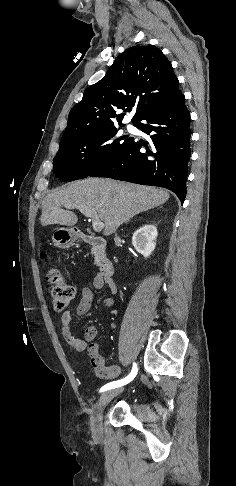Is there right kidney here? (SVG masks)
<instances>
[{"mask_svg":"<svg viewBox=\"0 0 236 486\" xmlns=\"http://www.w3.org/2000/svg\"><path fill=\"white\" fill-rule=\"evenodd\" d=\"M158 232L154 225H145L139 228L132 237V244L135 250L148 258L156 246Z\"/></svg>","mask_w":236,"mask_h":486,"instance_id":"obj_1","label":"right kidney"}]
</instances>
